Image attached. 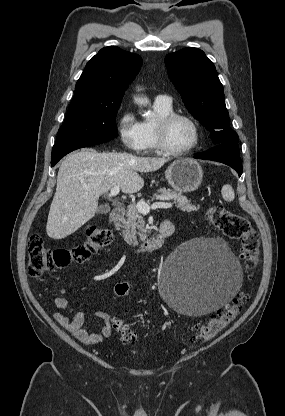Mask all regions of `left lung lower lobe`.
Returning a JSON list of instances; mask_svg holds the SVG:
<instances>
[{
    "mask_svg": "<svg viewBox=\"0 0 285 416\" xmlns=\"http://www.w3.org/2000/svg\"><path fill=\"white\" fill-rule=\"evenodd\" d=\"M194 158L221 162L232 167L239 176L242 174L240 151L237 142L221 144L196 155Z\"/></svg>",
    "mask_w": 285,
    "mask_h": 416,
    "instance_id": "1",
    "label": "left lung lower lobe"
}]
</instances>
